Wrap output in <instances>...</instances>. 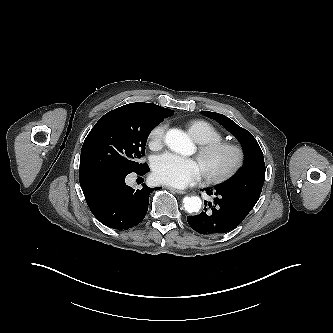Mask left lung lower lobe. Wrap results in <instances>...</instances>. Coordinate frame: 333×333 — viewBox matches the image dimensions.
<instances>
[{
	"instance_id": "0a47b994",
	"label": "left lung lower lobe",
	"mask_w": 333,
	"mask_h": 333,
	"mask_svg": "<svg viewBox=\"0 0 333 333\" xmlns=\"http://www.w3.org/2000/svg\"><path fill=\"white\" fill-rule=\"evenodd\" d=\"M208 195L214 193L216 198L211 210L195 216H188L190 227L202 235L214 236L229 232L236 228L252 210L258 200L244 194L225 191L218 186L214 190L205 189ZM207 205V202H205Z\"/></svg>"
}]
</instances>
